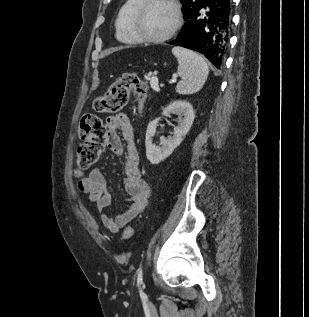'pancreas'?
I'll return each instance as SVG.
<instances>
[{"label":"pancreas","mask_w":309,"mask_h":317,"mask_svg":"<svg viewBox=\"0 0 309 317\" xmlns=\"http://www.w3.org/2000/svg\"><path fill=\"white\" fill-rule=\"evenodd\" d=\"M145 79H146V80H151V78H149V77H145Z\"/></svg>","instance_id":"pancreas-1"}]
</instances>
